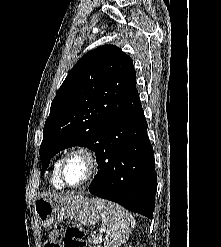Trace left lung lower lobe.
Wrapping results in <instances>:
<instances>
[{
  "instance_id": "obj_1",
  "label": "left lung lower lobe",
  "mask_w": 221,
  "mask_h": 247,
  "mask_svg": "<svg viewBox=\"0 0 221 247\" xmlns=\"http://www.w3.org/2000/svg\"><path fill=\"white\" fill-rule=\"evenodd\" d=\"M142 107L110 122L96 155L98 173L91 194L153 218L157 177Z\"/></svg>"
}]
</instances>
